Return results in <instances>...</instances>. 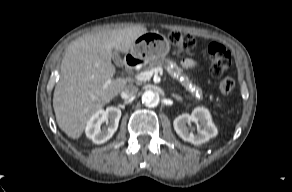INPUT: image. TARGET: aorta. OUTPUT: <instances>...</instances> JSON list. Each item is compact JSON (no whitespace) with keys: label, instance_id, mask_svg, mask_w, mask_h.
Instances as JSON below:
<instances>
[{"label":"aorta","instance_id":"obj_1","mask_svg":"<svg viewBox=\"0 0 292 192\" xmlns=\"http://www.w3.org/2000/svg\"><path fill=\"white\" fill-rule=\"evenodd\" d=\"M142 103L147 107H156L159 103V96L152 90H146L142 94Z\"/></svg>","mask_w":292,"mask_h":192}]
</instances>
